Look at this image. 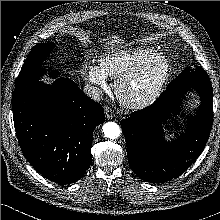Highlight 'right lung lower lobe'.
Masks as SVG:
<instances>
[{
  "instance_id": "right-lung-lower-lobe-1",
  "label": "right lung lower lobe",
  "mask_w": 220,
  "mask_h": 220,
  "mask_svg": "<svg viewBox=\"0 0 220 220\" xmlns=\"http://www.w3.org/2000/svg\"><path fill=\"white\" fill-rule=\"evenodd\" d=\"M12 107L20 148L34 169L58 184L79 180L90 166L103 107L67 78L15 88Z\"/></svg>"
}]
</instances>
